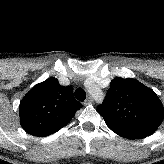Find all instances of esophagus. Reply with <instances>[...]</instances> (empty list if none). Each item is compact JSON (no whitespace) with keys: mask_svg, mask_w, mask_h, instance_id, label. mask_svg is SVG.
Listing matches in <instances>:
<instances>
[{"mask_svg":"<svg viewBox=\"0 0 164 164\" xmlns=\"http://www.w3.org/2000/svg\"><path fill=\"white\" fill-rule=\"evenodd\" d=\"M93 101H94L93 98L91 96H89L85 101V105L91 104V103H93Z\"/></svg>","mask_w":164,"mask_h":164,"instance_id":"esophagus-1","label":"esophagus"}]
</instances>
